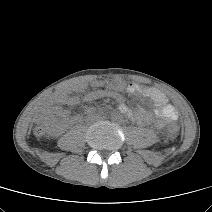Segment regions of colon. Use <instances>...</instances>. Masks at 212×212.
I'll use <instances>...</instances> for the list:
<instances>
[{
    "label": "colon",
    "instance_id": "5ec220e1",
    "mask_svg": "<svg viewBox=\"0 0 212 212\" xmlns=\"http://www.w3.org/2000/svg\"><path fill=\"white\" fill-rule=\"evenodd\" d=\"M53 125L49 120H40L33 127V133L38 136H44L50 132H52ZM179 131V127L176 124H171L168 128V133L170 136L177 135Z\"/></svg>",
    "mask_w": 212,
    "mask_h": 212
}]
</instances>
